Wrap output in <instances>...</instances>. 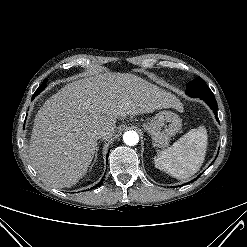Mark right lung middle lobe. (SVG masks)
<instances>
[{
	"mask_svg": "<svg viewBox=\"0 0 247 247\" xmlns=\"http://www.w3.org/2000/svg\"><path fill=\"white\" fill-rule=\"evenodd\" d=\"M46 81L47 79H45L44 82L38 87V89L36 90L37 94H39L46 87Z\"/></svg>",
	"mask_w": 247,
	"mask_h": 247,
	"instance_id": "dd1d6c3e",
	"label": "right lung middle lobe"
}]
</instances>
